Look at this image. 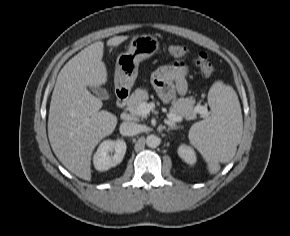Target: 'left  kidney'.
I'll use <instances>...</instances> for the list:
<instances>
[{
  "instance_id": "5707ae66",
  "label": "left kidney",
  "mask_w": 290,
  "mask_h": 236,
  "mask_svg": "<svg viewBox=\"0 0 290 236\" xmlns=\"http://www.w3.org/2000/svg\"><path fill=\"white\" fill-rule=\"evenodd\" d=\"M178 155L190 165H193L196 162V154L189 146L181 145L178 148Z\"/></svg>"
}]
</instances>
